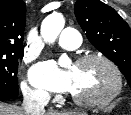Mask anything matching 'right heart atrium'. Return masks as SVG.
<instances>
[{
	"label": "right heart atrium",
	"mask_w": 131,
	"mask_h": 115,
	"mask_svg": "<svg viewBox=\"0 0 131 115\" xmlns=\"http://www.w3.org/2000/svg\"><path fill=\"white\" fill-rule=\"evenodd\" d=\"M22 91L26 98L33 100H43L48 97V93L44 89L31 87L26 82L22 84Z\"/></svg>",
	"instance_id": "right-heart-atrium-1"
}]
</instances>
